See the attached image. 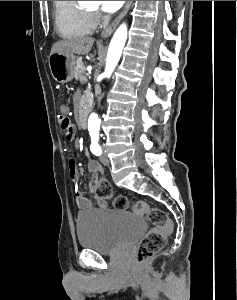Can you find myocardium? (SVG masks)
<instances>
[{"mask_svg":"<svg viewBox=\"0 0 237 300\" xmlns=\"http://www.w3.org/2000/svg\"><path fill=\"white\" fill-rule=\"evenodd\" d=\"M88 11H89L90 13H95V12H96L95 9H89Z\"/></svg>","mask_w":237,"mask_h":300,"instance_id":"myocardium-1","label":"myocardium"}]
</instances>
